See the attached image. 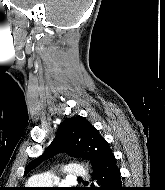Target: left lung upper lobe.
<instances>
[{
	"label": "left lung upper lobe",
	"mask_w": 165,
	"mask_h": 190,
	"mask_svg": "<svg viewBox=\"0 0 165 190\" xmlns=\"http://www.w3.org/2000/svg\"><path fill=\"white\" fill-rule=\"evenodd\" d=\"M63 151L71 156H80L89 160L92 166L112 153L107 141L98 130L84 117L76 116L60 124L53 142L40 157L26 166L24 175L43 160Z\"/></svg>",
	"instance_id": "5c2ea615"
}]
</instances>
